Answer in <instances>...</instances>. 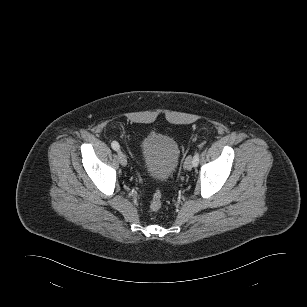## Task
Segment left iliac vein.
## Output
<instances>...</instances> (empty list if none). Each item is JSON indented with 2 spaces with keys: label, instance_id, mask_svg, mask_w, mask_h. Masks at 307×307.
Masks as SVG:
<instances>
[{
  "label": "left iliac vein",
  "instance_id": "obj_1",
  "mask_svg": "<svg viewBox=\"0 0 307 307\" xmlns=\"http://www.w3.org/2000/svg\"><path fill=\"white\" fill-rule=\"evenodd\" d=\"M192 160V157L188 156L184 162V168L188 171H190L193 167Z\"/></svg>",
  "mask_w": 307,
  "mask_h": 307
}]
</instances>
